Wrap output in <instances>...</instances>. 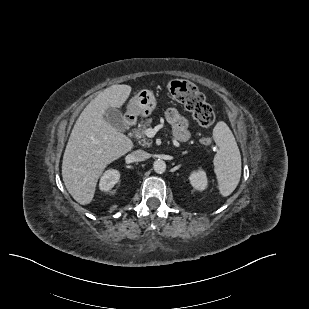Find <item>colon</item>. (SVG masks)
<instances>
[{"mask_svg": "<svg viewBox=\"0 0 309 309\" xmlns=\"http://www.w3.org/2000/svg\"><path fill=\"white\" fill-rule=\"evenodd\" d=\"M168 91L177 102L192 113L199 125L210 127L214 123L215 113L212 107L194 84L185 80H173L168 84ZM211 142L209 137L200 139V143L205 146L210 145Z\"/></svg>", "mask_w": 309, "mask_h": 309, "instance_id": "1", "label": "colon"}]
</instances>
